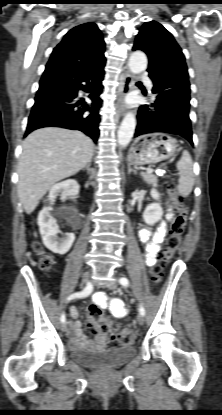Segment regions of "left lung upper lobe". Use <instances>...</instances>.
Instances as JSON below:
<instances>
[{
  "label": "left lung upper lobe",
  "mask_w": 222,
  "mask_h": 415,
  "mask_svg": "<svg viewBox=\"0 0 222 415\" xmlns=\"http://www.w3.org/2000/svg\"><path fill=\"white\" fill-rule=\"evenodd\" d=\"M133 50L144 51L149 59L147 71L175 66L187 70L185 57L172 34L156 21L146 22L136 36Z\"/></svg>",
  "instance_id": "obj_1"
}]
</instances>
